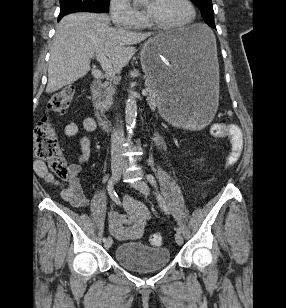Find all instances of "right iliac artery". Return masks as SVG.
Wrapping results in <instances>:
<instances>
[{
	"label": "right iliac artery",
	"mask_w": 286,
	"mask_h": 308,
	"mask_svg": "<svg viewBox=\"0 0 286 308\" xmlns=\"http://www.w3.org/2000/svg\"><path fill=\"white\" fill-rule=\"evenodd\" d=\"M113 182H114V177L112 176L111 179L108 181V185H107L108 193H109L111 199H112L114 202H116V205H120V206H121V200H119L118 195H117L116 192L114 191ZM120 208H121V207H120ZM107 238H108V237H107ZM107 238L104 237V238H103V242H105Z\"/></svg>",
	"instance_id": "right-iliac-artery-1"
}]
</instances>
